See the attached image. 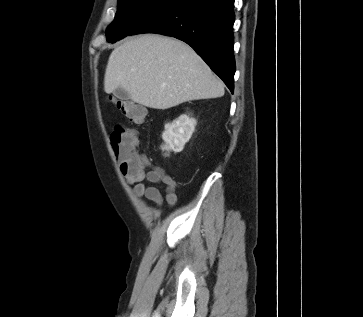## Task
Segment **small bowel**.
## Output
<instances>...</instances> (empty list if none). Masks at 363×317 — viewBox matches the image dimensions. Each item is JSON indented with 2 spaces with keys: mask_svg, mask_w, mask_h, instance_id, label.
<instances>
[{
  "mask_svg": "<svg viewBox=\"0 0 363 317\" xmlns=\"http://www.w3.org/2000/svg\"><path fill=\"white\" fill-rule=\"evenodd\" d=\"M145 164L144 160L142 168L138 170L121 168L124 179L128 184L133 186L134 195L138 198L145 197L156 206H160L163 202V196L160 190L155 186L146 185L144 181L146 180L153 184L164 183L166 185V201L171 206L175 205L177 202V182L159 167H154L150 171H146Z\"/></svg>",
  "mask_w": 363,
  "mask_h": 317,
  "instance_id": "obj_1",
  "label": "small bowel"
}]
</instances>
